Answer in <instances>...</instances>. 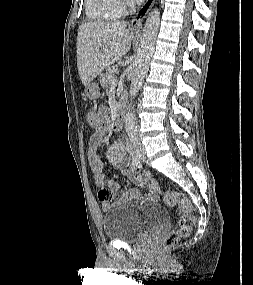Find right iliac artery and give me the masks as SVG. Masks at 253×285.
Listing matches in <instances>:
<instances>
[{
  "mask_svg": "<svg viewBox=\"0 0 253 285\" xmlns=\"http://www.w3.org/2000/svg\"><path fill=\"white\" fill-rule=\"evenodd\" d=\"M131 142L133 143V147H134V144H135V138L132 137L131 138ZM140 165V161L138 160L136 154H135V151L133 150L132 151V163H131V172H135L137 167Z\"/></svg>",
  "mask_w": 253,
  "mask_h": 285,
  "instance_id": "obj_1",
  "label": "right iliac artery"
}]
</instances>
